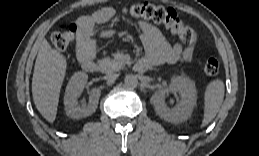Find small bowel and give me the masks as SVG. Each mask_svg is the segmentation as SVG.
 Listing matches in <instances>:
<instances>
[{
    "label": "small bowel",
    "instance_id": "1",
    "mask_svg": "<svg viewBox=\"0 0 259 156\" xmlns=\"http://www.w3.org/2000/svg\"><path fill=\"white\" fill-rule=\"evenodd\" d=\"M115 15V9L102 7L78 19L77 47L80 55H93L96 50L95 36L104 33L101 26ZM140 39L145 49L141 62L147 67L163 63L191 61L196 55V45L184 47L180 43L171 45L161 31L150 23L139 21Z\"/></svg>",
    "mask_w": 259,
    "mask_h": 156
}]
</instances>
